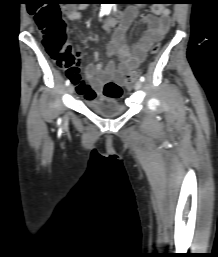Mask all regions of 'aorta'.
<instances>
[{
	"label": "aorta",
	"instance_id": "762f6f07",
	"mask_svg": "<svg viewBox=\"0 0 218 257\" xmlns=\"http://www.w3.org/2000/svg\"><path fill=\"white\" fill-rule=\"evenodd\" d=\"M113 4H101V12L110 13Z\"/></svg>",
	"mask_w": 218,
	"mask_h": 257
}]
</instances>
